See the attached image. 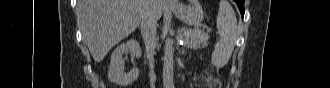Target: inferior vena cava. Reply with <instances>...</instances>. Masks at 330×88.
Instances as JSON below:
<instances>
[{
    "label": "inferior vena cava",
    "instance_id": "obj_1",
    "mask_svg": "<svg viewBox=\"0 0 330 88\" xmlns=\"http://www.w3.org/2000/svg\"><path fill=\"white\" fill-rule=\"evenodd\" d=\"M156 0H148V7L141 15V34L144 40L147 58L150 67V85L154 88V53L156 48L157 16L153 4Z\"/></svg>",
    "mask_w": 330,
    "mask_h": 88
}]
</instances>
